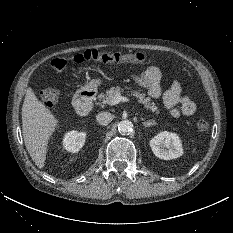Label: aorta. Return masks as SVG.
Wrapping results in <instances>:
<instances>
[{
	"label": "aorta",
	"instance_id": "obj_1",
	"mask_svg": "<svg viewBox=\"0 0 233 233\" xmlns=\"http://www.w3.org/2000/svg\"><path fill=\"white\" fill-rule=\"evenodd\" d=\"M133 130V124L129 120H122L118 124V131L121 134H129Z\"/></svg>",
	"mask_w": 233,
	"mask_h": 233
}]
</instances>
